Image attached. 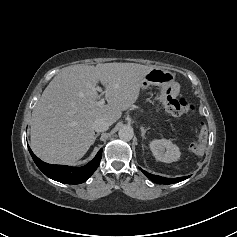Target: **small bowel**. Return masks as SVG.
I'll return each instance as SVG.
<instances>
[{
  "label": "small bowel",
  "mask_w": 237,
  "mask_h": 237,
  "mask_svg": "<svg viewBox=\"0 0 237 237\" xmlns=\"http://www.w3.org/2000/svg\"><path fill=\"white\" fill-rule=\"evenodd\" d=\"M169 92H170L172 95H176V94H177V87H176V86H173Z\"/></svg>",
  "instance_id": "c3829d8e"
}]
</instances>
